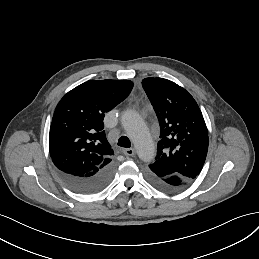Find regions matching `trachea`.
Wrapping results in <instances>:
<instances>
[{"label":"trachea","mask_w":259,"mask_h":259,"mask_svg":"<svg viewBox=\"0 0 259 259\" xmlns=\"http://www.w3.org/2000/svg\"><path fill=\"white\" fill-rule=\"evenodd\" d=\"M118 145L124 148H129L131 146V143L128 137L122 136L118 140Z\"/></svg>","instance_id":"trachea-1"}]
</instances>
